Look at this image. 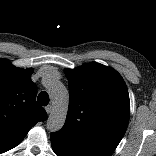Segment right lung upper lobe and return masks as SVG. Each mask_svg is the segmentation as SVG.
Wrapping results in <instances>:
<instances>
[{"instance_id": "obj_1", "label": "right lung upper lobe", "mask_w": 156, "mask_h": 156, "mask_svg": "<svg viewBox=\"0 0 156 156\" xmlns=\"http://www.w3.org/2000/svg\"><path fill=\"white\" fill-rule=\"evenodd\" d=\"M32 69H20L0 60V153L17 146L39 121L47 119L36 102Z\"/></svg>"}]
</instances>
